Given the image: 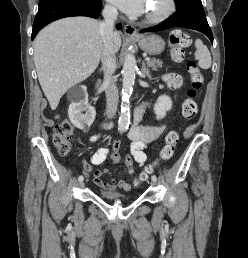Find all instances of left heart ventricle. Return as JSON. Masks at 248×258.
<instances>
[{
	"instance_id": "left-heart-ventricle-1",
	"label": "left heart ventricle",
	"mask_w": 248,
	"mask_h": 258,
	"mask_svg": "<svg viewBox=\"0 0 248 258\" xmlns=\"http://www.w3.org/2000/svg\"><path fill=\"white\" fill-rule=\"evenodd\" d=\"M166 6V0H151L145 12L146 16L161 12Z\"/></svg>"
}]
</instances>
